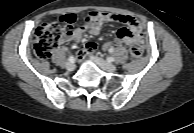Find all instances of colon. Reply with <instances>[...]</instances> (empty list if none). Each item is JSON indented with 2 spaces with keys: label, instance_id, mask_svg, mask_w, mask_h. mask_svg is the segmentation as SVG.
Returning a JSON list of instances; mask_svg holds the SVG:
<instances>
[{
  "label": "colon",
  "instance_id": "colon-1",
  "mask_svg": "<svg viewBox=\"0 0 194 133\" xmlns=\"http://www.w3.org/2000/svg\"><path fill=\"white\" fill-rule=\"evenodd\" d=\"M79 22V18L74 14H66L58 19L43 23L35 32L33 49L35 56L40 60L47 59L52 50L58 45L63 36L68 32L67 30L73 29ZM98 49V44L95 41H89L86 44L85 51L80 54L83 58L85 54L95 52ZM142 48L134 44L130 47V54L133 59L141 56Z\"/></svg>",
  "mask_w": 194,
  "mask_h": 133
}]
</instances>
